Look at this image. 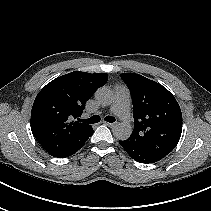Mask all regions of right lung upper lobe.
I'll return each instance as SVG.
<instances>
[{
	"mask_svg": "<svg viewBox=\"0 0 211 211\" xmlns=\"http://www.w3.org/2000/svg\"><path fill=\"white\" fill-rule=\"evenodd\" d=\"M106 73L74 71L44 86L31 111V130L40 145L57 157L68 153L88 138L93 129L81 123L86 101L106 84Z\"/></svg>",
	"mask_w": 211,
	"mask_h": 211,
	"instance_id": "1",
	"label": "right lung upper lobe"
}]
</instances>
